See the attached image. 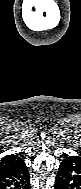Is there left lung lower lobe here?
Instances as JSON below:
<instances>
[{
	"instance_id": "0a47b994",
	"label": "left lung lower lobe",
	"mask_w": 81,
	"mask_h": 189,
	"mask_svg": "<svg viewBox=\"0 0 81 189\" xmlns=\"http://www.w3.org/2000/svg\"><path fill=\"white\" fill-rule=\"evenodd\" d=\"M55 189H81V161L67 156L58 168Z\"/></svg>"
}]
</instances>
